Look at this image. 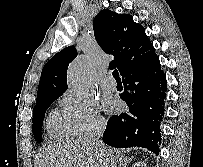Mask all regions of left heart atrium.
<instances>
[{"label":"left heart atrium","instance_id":"obj_1","mask_svg":"<svg viewBox=\"0 0 203 167\" xmlns=\"http://www.w3.org/2000/svg\"><path fill=\"white\" fill-rule=\"evenodd\" d=\"M105 107H106L108 110H110V111H113V110L115 109L114 104L111 103V102H106V103H105Z\"/></svg>","mask_w":203,"mask_h":167}]
</instances>
